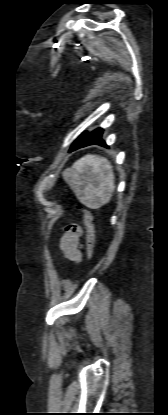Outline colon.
Instances as JSON below:
<instances>
[{
	"label": "colon",
	"instance_id": "5ec220e1",
	"mask_svg": "<svg viewBox=\"0 0 168 415\" xmlns=\"http://www.w3.org/2000/svg\"><path fill=\"white\" fill-rule=\"evenodd\" d=\"M84 223L86 226V242L88 248V257L92 259L95 252V229L93 225V217L90 211L83 210Z\"/></svg>",
	"mask_w": 168,
	"mask_h": 415
}]
</instances>
